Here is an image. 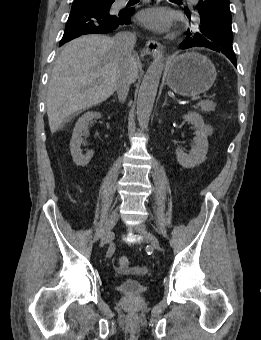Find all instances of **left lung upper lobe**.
<instances>
[{
	"mask_svg": "<svg viewBox=\"0 0 261 340\" xmlns=\"http://www.w3.org/2000/svg\"><path fill=\"white\" fill-rule=\"evenodd\" d=\"M204 1H219L229 5V0H199L195 6L198 12ZM231 21V17L219 12H215V16L210 21H203L199 16V19L195 22L196 30H188L186 34L187 37L195 38L198 46L207 47L218 52L222 50H233Z\"/></svg>",
	"mask_w": 261,
	"mask_h": 340,
	"instance_id": "1",
	"label": "left lung upper lobe"
}]
</instances>
